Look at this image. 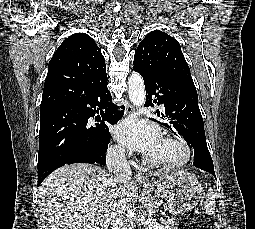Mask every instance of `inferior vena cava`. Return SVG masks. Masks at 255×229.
Instances as JSON below:
<instances>
[{"label":"inferior vena cava","instance_id":"inferior-vena-cava-1","mask_svg":"<svg viewBox=\"0 0 255 229\" xmlns=\"http://www.w3.org/2000/svg\"><path fill=\"white\" fill-rule=\"evenodd\" d=\"M106 163L115 182L122 185L131 180V168L126 160L124 148L120 146L109 148ZM134 218L135 214L132 206L126 199L121 198L115 212V224L118 229H134Z\"/></svg>","mask_w":255,"mask_h":229}]
</instances>
